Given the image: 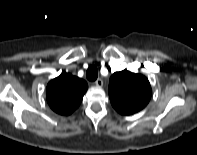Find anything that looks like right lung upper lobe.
<instances>
[{
	"label": "right lung upper lobe",
	"instance_id": "obj_1",
	"mask_svg": "<svg viewBox=\"0 0 197 155\" xmlns=\"http://www.w3.org/2000/svg\"><path fill=\"white\" fill-rule=\"evenodd\" d=\"M87 88L84 80L69 73H62L48 83L47 102L56 113L69 115L78 108Z\"/></svg>",
	"mask_w": 197,
	"mask_h": 155
}]
</instances>
